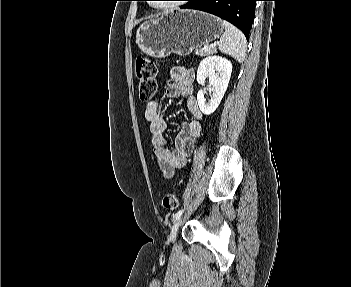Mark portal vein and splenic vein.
<instances>
[{"mask_svg":"<svg viewBox=\"0 0 351 287\" xmlns=\"http://www.w3.org/2000/svg\"><path fill=\"white\" fill-rule=\"evenodd\" d=\"M204 49L207 50V49H208V46H204Z\"/></svg>","mask_w":351,"mask_h":287,"instance_id":"18ae733b","label":"portal vein and splenic vein"}]
</instances>
